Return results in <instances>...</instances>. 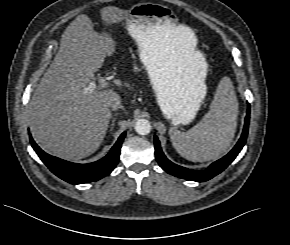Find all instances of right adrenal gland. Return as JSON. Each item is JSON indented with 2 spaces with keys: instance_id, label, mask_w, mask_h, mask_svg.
I'll return each mask as SVG.
<instances>
[{
  "instance_id": "2a0ac1e0",
  "label": "right adrenal gland",
  "mask_w": 290,
  "mask_h": 245,
  "mask_svg": "<svg viewBox=\"0 0 290 245\" xmlns=\"http://www.w3.org/2000/svg\"><path fill=\"white\" fill-rule=\"evenodd\" d=\"M115 121H116V115L112 118L111 120V129H113L114 125H115Z\"/></svg>"
}]
</instances>
